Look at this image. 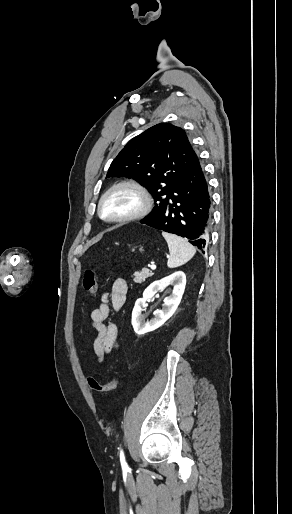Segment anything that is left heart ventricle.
<instances>
[{"label":"left heart ventricle","instance_id":"b2bd125f","mask_svg":"<svg viewBox=\"0 0 292 514\" xmlns=\"http://www.w3.org/2000/svg\"><path fill=\"white\" fill-rule=\"evenodd\" d=\"M137 203V196L132 192L118 191L106 201L104 214L107 217L122 215L134 209Z\"/></svg>","mask_w":292,"mask_h":514}]
</instances>
